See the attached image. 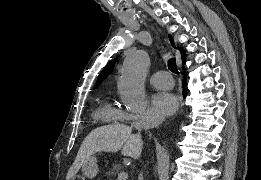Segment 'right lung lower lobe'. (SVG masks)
<instances>
[{"instance_id":"right-lung-lower-lobe-1","label":"right lung lower lobe","mask_w":261,"mask_h":180,"mask_svg":"<svg viewBox=\"0 0 261 180\" xmlns=\"http://www.w3.org/2000/svg\"><path fill=\"white\" fill-rule=\"evenodd\" d=\"M183 74L186 76L187 73L186 72H183ZM186 78L183 79L182 81V85H183V95L186 96L187 95V83H186Z\"/></svg>"}]
</instances>
